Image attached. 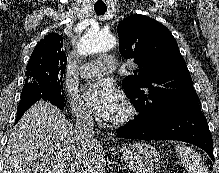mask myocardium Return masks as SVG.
I'll return each mask as SVG.
<instances>
[{"mask_svg": "<svg viewBox=\"0 0 219 173\" xmlns=\"http://www.w3.org/2000/svg\"><path fill=\"white\" fill-rule=\"evenodd\" d=\"M121 105L123 107L122 114L115 118H111L109 121L110 125L113 127L126 126L132 122L137 115V108L135 104L128 98H124Z\"/></svg>", "mask_w": 219, "mask_h": 173, "instance_id": "obj_1", "label": "myocardium"}]
</instances>
